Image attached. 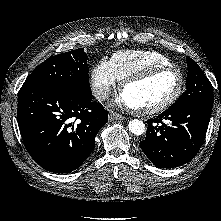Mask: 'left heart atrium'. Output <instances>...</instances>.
<instances>
[{
	"instance_id": "39dd6f15",
	"label": "left heart atrium",
	"mask_w": 221,
	"mask_h": 221,
	"mask_svg": "<svg viewBox=\"0 0 221 221\" xmlns=\"http://www.w3.org/2000/svg\"><path fill=\"white\" fill-rule=\"evenodd\" d=\"M116 102L120 105L129 107V108H134L131 106V104L128 102L126 97L123 95V93L116 99Z\"/></svg>"
}]
</instances>
